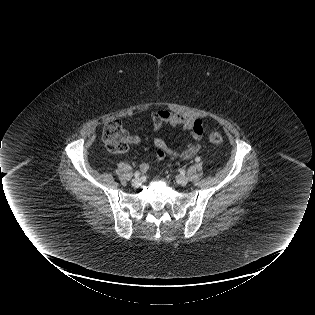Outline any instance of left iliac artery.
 Returning <instances> with one entry per match:
<instances>
[{"mask_svg":"<svg viewBox=\"0 0 315 315\" xmlns=\"http://www.w3.org/2000/svg\"><path fill=\"white\" fill-rule=\"evenodd\" d=\"M195 161H196V162H200V157H196V158H195Z\"/></svg>","mask_w":315,"mask_h":315,"instance_id":"44dca946","label":"left iliac artery"}]
</instances>
